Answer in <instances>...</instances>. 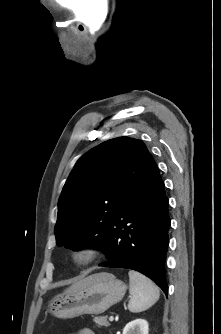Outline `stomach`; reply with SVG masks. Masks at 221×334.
Instances as JSON below:
<instances>
[{"label": "stomach", "instance_id": "obj_1", "mask_svg": "<svg viewBox=\"0 0 221 334\" xmlns=\"http://www.w3.org/2000/svg\"><path fill=\"white\" fill-rule=\"evenodd\" d=\"M87 278L89 283L84 287L55 296L49 302V312L61 319L97 315L120 302L125 295V283L112 274L101 272Z\"/></svg>", "mask_w": 221, "mask_h": 334}]
</instances>
